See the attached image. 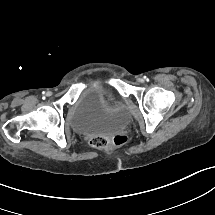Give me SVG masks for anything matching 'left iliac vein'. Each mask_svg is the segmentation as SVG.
Segmentation results:
<instances>
[{
	"instance_id": "1",
	"label": "left iliac vein",
	"mask_w": 215,
	"mask_h": 215,
	"mask_svg": "<svg viewBox=\"0 0 215 215\" xmlns=\"http://www.w3.org/2000/svg\"><path fill=\"white\" fill-rule=\"evenodd\" d=\"M138 82H139V83L144 82L143 78H141V77H140V78H138Z\"/></svg>"
}]
</instances>
